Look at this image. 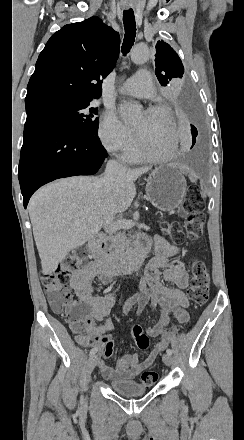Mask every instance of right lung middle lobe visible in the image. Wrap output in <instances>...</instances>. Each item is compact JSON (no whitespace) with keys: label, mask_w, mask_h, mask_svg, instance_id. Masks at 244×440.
<instances>
[{"label":"right lung middle lobe","mask_w":244,"mask_h":440,"mask_svg":"<svg viewBox=\"0 0 244 440\" xmlns=\"http://www.w3.org/2000/svg\"><path fill=\"white\" fill-rule=\"evenodd\" d=\"M92 100L58 94L25 99L27 120H48L85 135H96L98 118L94 115L98 110L89 107Z\"/></svg>","instance_id":"right-lung-middle-lobe-1"}]
</instances>
